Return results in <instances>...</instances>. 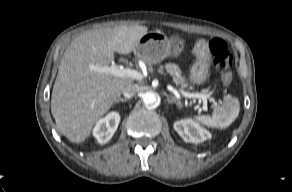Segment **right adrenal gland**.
Returning a JSON list of instances; mask_svg holds the SVG:
<instances>
[{"mask_svg": "<svg viewBox=\"0 0 292 192\" xmlns=\"http://www.w3.org/2000/svg\"><path fill=\"white\" fill-rule=\"evenodd\" d=\"M127 101H128V99H126V98L118 97V98L115 100V103L117 104V103H120V102H127Z\"/></svg>", "mask_w": 292, "mask_h": 192, "instance_id": "2a0ac1e0", "label": "right adrenal gland"}]
</instances>
